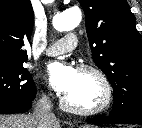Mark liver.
Wrapping results in <instances>:
<instances>
[{"instance_id":"liver-1","label":"liver","mask_w":142,"mask_h":128,"mask_svg":"<svg viewBox=\"0 0 142 128\" xmlns=\"http://www.w3.org/2000/svg\"><path fill=\"white\" fill-rule=\"evenodd\" d=\"M33 114L0 115V128H37ZM53 128H60L59 122Z\"/></svg>"}]
</instances>
